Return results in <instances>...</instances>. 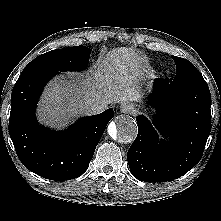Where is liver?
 Here are the masks:
<instances>
[{"instance_id":"1","label":"liver","mask_w":221,"mask_h":221,"mask_svg":"<svg viewBox=\"0 0 221 221\" xmlns=\"http://www.w3.org/2000/svg\"><path fill=\"white\" fill-rule=\"evenodd\" d=\"M93 68L86 75L75 74L73 80L56 78L48 84L38 106L40 122L63 128L79 116L91 115L89 106L94 102L137 100L147 63L132 48H114Z\"/></svg>"}]
</instances>
